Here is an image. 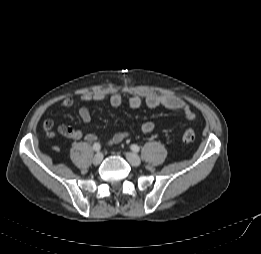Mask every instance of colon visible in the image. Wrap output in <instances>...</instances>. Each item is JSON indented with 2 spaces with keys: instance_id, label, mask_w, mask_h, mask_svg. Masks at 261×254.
Wrapping results in <instances>:
<instances>
[{
  "instance_id": "obj_1",
  "label": "colon",
  "mask_w": 261,
  "mask_h": 254,
  "mask_svg": "<svg viewBox=\"0 0 261 254\" xmlns=\"http://www.w3.org/2000/svg\"><path fill=\"white\" fill-rule=\"evenodd\" d=\"M195 139V132L191 128H187L183 133V140L186 143H191Z\"/></svg>"
}]
</instances>
